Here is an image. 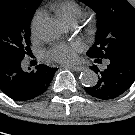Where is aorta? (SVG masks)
Returning a JSON list of instances; mask_svg holds the SVG:
<instances>
[{
  "label": "aorta",
  "instance_id": "aorta-1",
  "mask_svg": "<svg viewBox=\"0 0 135 135\" xmlns=\"http://www.w3.org/2000/svg\"><path fill=\"white\" fill-rule=\"evenodd\" d=\"M39 36L45 41H56L63 33V26L60 20L54 17H45L37 25ZM97 74L91 69H86L80 74V82L87 87L97 84Z\"/></svg>",
  "mask_w": 135,
  "mask_h": 135
}]
</instances>
